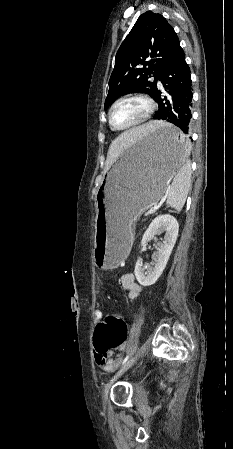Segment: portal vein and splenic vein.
<instances>
[{
	"label": "portal vein and splenic vein",
	"mask_w": 233,
	"mask_h": 449,
	"mask_svg": "<svg viewBox=\"0 0 233 449\" xmlns=\"http://www.w3.org/2000/svg\"><path fill=\"white\" fill-rule=\"evenodd\" d=\"M155 209H156L155 207L149 209V210H148V214H152V213L154 212Z\"/></svg>",
	"instance_id": "portal-vein-and-splenic-vein-1"
}]
</instances>
